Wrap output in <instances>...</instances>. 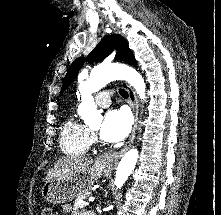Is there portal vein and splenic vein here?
Returning <instances> with one entry per match:
<instances>
[{
	"instance_id": "18ae733b",
	"label": "portal vein and splenic vein",
	"mask_w": 221,
	"mask_h": 215,
	"mask_svg": "<svg viewBox=\"0 0 221 215\" xmlns=\"http://www.w3.org/2000/svg\"><path fill=\"white\" fill-rule=\"evenodd\" d=\"M94 199H95L94 197H90V198L88 199V201L93 202Z\"/></svg>"
}]
</instances>
